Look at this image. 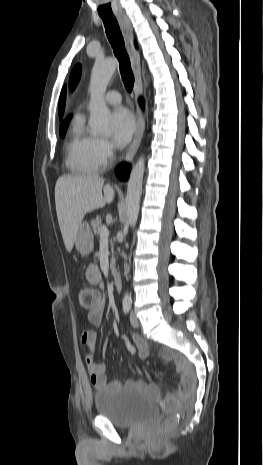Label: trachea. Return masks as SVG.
Wrapping results in <instances>:
<instances>
[{
	"instance_id": "trachea-1",
	"label": "trachea",
	"mask_w": 263,
	"mask_h": 465,
	"mask_svg": "<svg viewBox=\"0 0 263 465\" xmlns=\"http://www.w3.org/2000/svg\"><path fill=\"white\" fill-rule=\"evenodd\" d=\"M107 38L113 48L114 54L119 61L120 73L124 86L128 92H131L134 86V75L131 70L129 56L125 49L124 39L114 16H101Z\"/></svg>"
}]
</instances>
